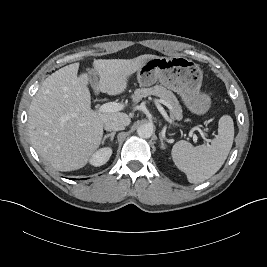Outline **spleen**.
I'll use <instances>...</instances> for the list:
<instances>
[{
  "mask_svg": "<svg viewBox=\"0 0 267 267\" xmlns=\"http://www.w3.org/2000/svg\"><path fill=\"white\" fill-rule=\"evenodd\" d=\"M234 140V123L229 115L218 122V135L211 144L194 147L181 140L172 148V159L190 183H201L213 176L224 164Z\"/></svg>",
  "mask_w": 267,
  "mask_h": 267,
  "instance_id": "spleen-1",
  "label": "spleen"
}]
</instances>
